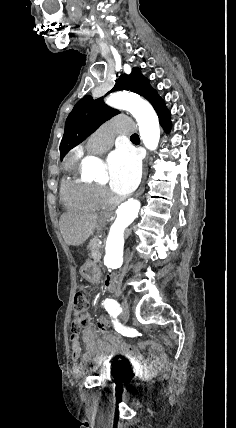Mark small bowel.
Instances as JSON below:
<instances>
[{
  "label": "small bowel",
  "mask_w": 236,
  "mask_h": 428,
  "mask_svg": "<svg viewBox=\"0 0 236 428\" xmlns=\"http://www.w3.org/2000/svg\"><path fill=\"white\" fill-rule=\"evenodd\" d=\"M105 287L109 291L115 290V285L109 286L106 283ZM81 342L85 345L84 354H82ZM146 348L149 350V357L141 354V350ZM71 349L72 357L76 361L79 359L86 362L124 360L129 366L138 370L149 369L165 361L162 348L157 343L140 341L137 345L130 344L118 335L106 333L105 327L95 325L89 316H84L81 336L71 335Z\"/></svg>",
  "instance_id": "obj_1"
}]
</instances>
